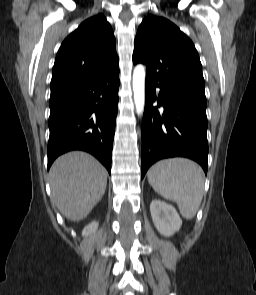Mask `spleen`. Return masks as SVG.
Here are the masks:
<instances>
[{"label": "spleen", "mask_w": 256, "mask_h": 295, "mask_svg": "<svg viewBox=\"0 0 256 295\" xmlns=\"http://www.w3.org/2000/svg\"><path fill=\"white\" fill-rule=\"evenodd\" d=\"M148 182L163 198L177 202L184 218L196 215L204 192V173L198 164L185 158L159 161L149 169Z\"/></svg>", "instance_id": "3e777b00"}]
</instances>
